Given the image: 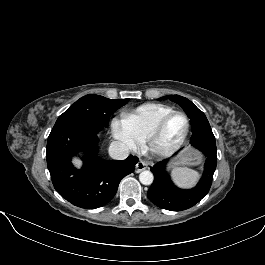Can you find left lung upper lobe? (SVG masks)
Wrapping results in <instances>:
<instances>
[{
  "label": "left lung upper lobe",
  "mask_w": 265,
  "mask_h": 265,
  "mask_svg": "<svg viewBox=\"0 0 265 265\" xmlns=\"http://www.w3.org/2000/svg\"><path fill=\"white\" fill-rule=\"evenodd\" d=\"M170 99L179 104L186 112L191 122V129H195L199 126L209 125V122L205 114L199 110L190 100L179 95L164 96L161 99Z\"/></svg>",
  "instance_id": "1"
}]
</instances>
